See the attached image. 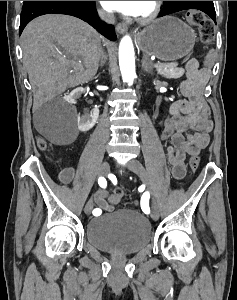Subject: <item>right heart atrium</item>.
Returning <instances> with one entry per match:
<instances>
[{
  "mask_svg": "<svg viewBox=\"0 0 237 300\" xmlns=\"http://www.w3.org/2000/svg\"><path fill=\"white\" fill-rule=\"evenodd\" d=\"M97 14L99 19L103 22H111L113 20V16L102 9H98Z\"/></svg>",
  "mask_w": 237,
  "mask_h": 300,
  "instance_id": "d8ad5b80",
  "label": "right heart atrium"
}]
</instances>
